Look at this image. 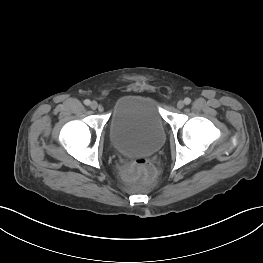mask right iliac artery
Wrapping results in <instances>:
<instances>
[{
    "label": "right iliac artery",
    "mask_w": 263,
    "mask_h": 263,
    "mask_svg": "<svg viewBox=\"0 0 263 263\" xmlns=\"http://www.w3.org/2000/svg\"><path fill=\"white\" fill-rule=\"evenodd\" d=\"M90 103H91V102H90L89 99H86V100L84 101V104L87 105V106L90 105Z\"/></svg>",
    "instance_id": "obj_1"
}]
</instances>
